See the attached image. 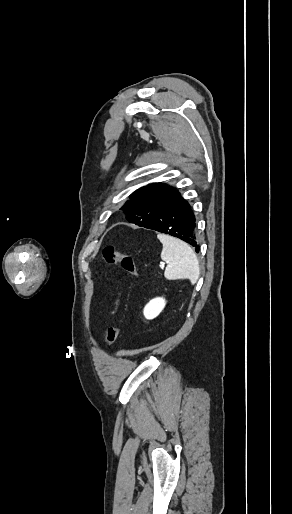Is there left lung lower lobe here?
I'll return each mask as SVG.
<instances>
[{
    "label": "left lung lower lobe",
    "instance_id": "obj_1",
    "mask_svg": "<svg viewBox=\"0 0 292 514\" xmlns=\"http://www.w3.org/2000/svg\"><path fill=\"white\" fill-rule=\"evenodd\" d=\"M145 228L180 238L199 252L195 215L178 191L166 202L159 216Z\"/></svg>",
    "mask_w": 292,
    "mask_h": 514
}]
</instances>
